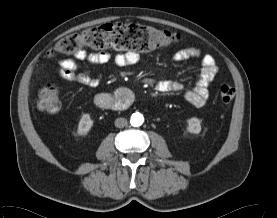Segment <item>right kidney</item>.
Returning <instances> with one entry per match:
<instances>
[{
	"label": "right kidney",
	"mask_w": 277,
	"mask_h": 218,
	"mask_svg": "<svg viewBox=\"0 0 277 218\" xmlns=\"http://www.w3.org/2000/svg\"><path fill=\"white\" fill-rule=\"evenodd\" d=\"M92 126L93 120L91 119L90 114H83L78 124L77 134L79 136L87 135Z\"/></svg>",
	"instance_id": "right-kidney-1"
}]
</instances>
